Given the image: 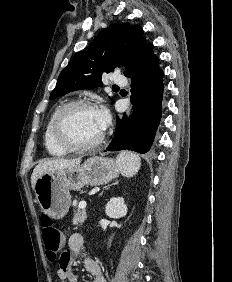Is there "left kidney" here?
Here are the masks:
<instances>
[{
  "mask_svg": "<svg viewBox=\"0 0 232 282\" xmlns=\"http://www.w3.org/2000/svg\"><path fill=\"white\" fill-rule=\"evenodd\" d=\"M105 213L111 218H121L127 214V206L122 197H113L105 207Z\"/></svg>",
  "mask_w": 232,
  "mask_h": 282,
  "instance_id": "left-kidney-1",
  "label": "left kidney"
}]
</instances>
